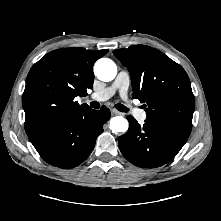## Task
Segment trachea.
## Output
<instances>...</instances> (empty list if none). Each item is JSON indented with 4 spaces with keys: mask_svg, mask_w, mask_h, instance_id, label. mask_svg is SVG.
Returning <instances> with one entry per match:
<instances>
[{
    "mask_svg": "<svg viewBox=\"0 0 221 221\" xmlns=\"http://www.w3.org/2000/svg\"><path fill=\"white\" fill-rule=\"evenodd\" d=\"M91 107L97 109L100 107V104L98 102L93 101V102H91ZM115 108L117 110H119L120 112H128L129 111V109L127 107H125L124 105H122L120 103L116 104Z\"/></svg>",
    "mask_w": 221,
    "mask_h": 221,
    "instance_id": "1",
    "label": "trachea"
}]
</instances>
